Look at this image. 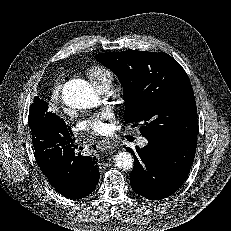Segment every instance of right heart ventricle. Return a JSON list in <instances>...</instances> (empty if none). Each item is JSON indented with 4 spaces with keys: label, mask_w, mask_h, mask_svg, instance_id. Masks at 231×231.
<instances>
[{
    "label": "right heart ventricle",
    "mask_w": 231,
    "mask_h": 231,
    "mask_svg": "<svg viewBox=\"0 0 231 231\" xmlns=\"http://www.w3.org/2000/svg\"><path fill=\"white\" fill-rule=\"evenodd\" d=\"M89 77L96 88L104 84H112L114 80L113 72L104 67L96 66L89 71Z\"/></svg>",
    "instance_id": "obj_1"
}]
</instances>
